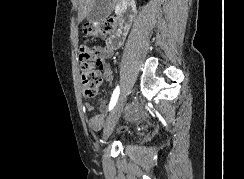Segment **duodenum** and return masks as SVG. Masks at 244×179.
Segmentation results:
<instances>
[{"label": "duodenum", "mask_w": 244, "mask_h": 179, "mask_svg": "<svg viewBox=\"0 0 244 179\" xmlns=\"http://www.w3.org/2000/svg\"><path fill=\"white\" fill-rule=\"evenodd\" d=\"M136 4L137 2L134 0H121L119 2L116 14L118 19L122 21L123 28H128L129 24L134 19L136 13ZM117 37H121L123 39V34L111 37L109 39V42L113 43L114 41H116Z\"/></svg>", "instance_id": "duodenum-1"}]
</instances>
